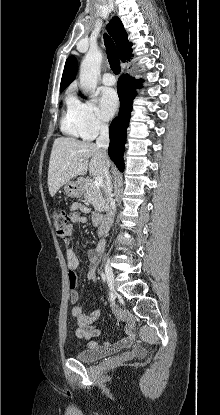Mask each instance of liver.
Masks as SVG:
<instances>
[{
	"label": "liver",
	"instance_id": "6515ba94",
	"mask_svg": "<svg viewBox=\"0 0 220 415\" xmlns=\"http://www.w3.org/2000/svg\"><path fill=\"white\" fill-rule=\"evenodd\" d=\"M107 152L92 142L79 141L72 137L55 139L48 168V188L51 196L72 179L85 175L104 177L109 168Z\"/></svg>",
	"mask_w": 220,
	"mask_h": 415
}]
</instances>
